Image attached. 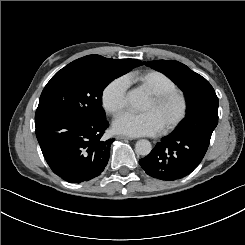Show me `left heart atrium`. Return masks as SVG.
Instances as JSON below:
<instances>
[{
	"label": "left heart atrium",
	"mask_w": 245,
	"mask_h": 245,
	"mask_svg": "<svg viewBox=\"0 0 245 245\" xmlns=\"http://www.w3.org/2000/svg\"><path fill=\"white\" fill-rule=\"evenodd\" d=\"M161 126L158 118L151 111L141 114H125L114 122L116 132L129 136L155 134L161 130Z\"/></svg>",
	"instance_id": "obj_1"
}]
</instances>
